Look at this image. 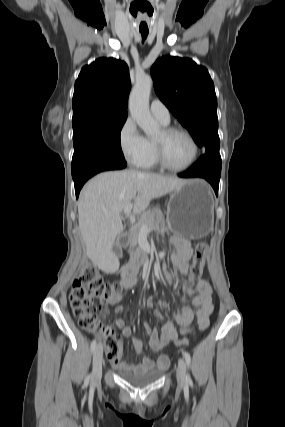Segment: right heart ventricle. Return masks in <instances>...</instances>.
Listing matches in <instances>:
<instances>
[{
  "label": "right heart ventricle",
  "mask_w": 285,
  "mask_h": 427,
  "mask_svg": "<svg viewBox=\"0 0 285 427\" xmlns=\"http://www.w3.org/2000/svg\"><path fill=\"white\" fill-rule=\"evenodd\" d=\"M166 125V124H164ZM143 169H153L158 166V161L156 158L154 140L147 139V151L144 157L141 159L140 163L137 165Z\"/></svg>",
  "instance_id": "right-heart-ventricle-1"
}]
</instances>
